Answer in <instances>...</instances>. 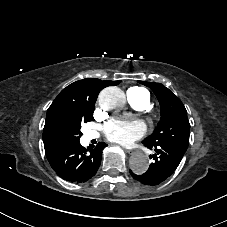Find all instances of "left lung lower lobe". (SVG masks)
I'll use <instances>...</instances> for the list:
<instances>
[{"label": "left lung lower lobe", "mask_w": 227, "mask_h": 227, "mask_svg": "<svg viewBox=\"0 0 227 227\" xmlns=\"http://www.w3.org/2000/svg\"><path fill=\"white\" fill-rule=\"evenodd\" d=\"M145 146L156 152L153 155L155 162L151 163L149 169L142 175H136L131 170L130 173L133 178L143 184L158 185L173 174L185 152L164 143Z\"/></svg>", "instance_id": "0a47b994"}]
</instances>
